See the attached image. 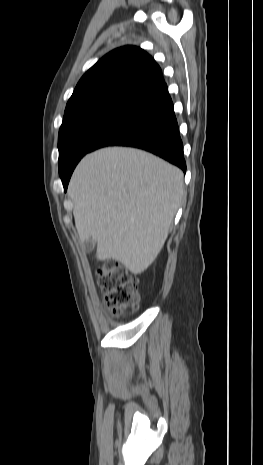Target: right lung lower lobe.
<instances>
[{
  "label": "right lung lower lobe",
  "mask_w": 263,
  "mask_h": 465,
  "mask_svg": "<svg viewBox=\"0 0 263 465\" xmlns=\"http://www.w3.org/2000/svg\"><path fill=\"white\" fill-rule=\"evenodd\" d=\"M107 146L143 149L186 171L183 144L165 83L138 98L97 140L91 151ZM71 174L62 178L65 191Z\"/></svg>",
  "instance_id": "right-lung-lower-lobe-1"
}]
</instances>
